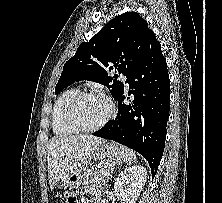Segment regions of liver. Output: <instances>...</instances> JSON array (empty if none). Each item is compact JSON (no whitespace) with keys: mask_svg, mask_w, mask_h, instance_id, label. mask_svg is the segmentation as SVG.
Listing matches in <instances>:
<instances>
[{"mask_svg":"<svg viewBox=\"0 0 222 203\" xmlns=\"http://www.w3.org/2000/svg\"><path fill=\"white\" fill-rule=\"evenodd\" d=\"M104 139L92 135L56 136L47 146L48 178L53 189L71 170L88 163Z\"/></svg>","mask_w":222,"mask_h":203,"instance_id":"1","label":"liver"}]
</instances>
